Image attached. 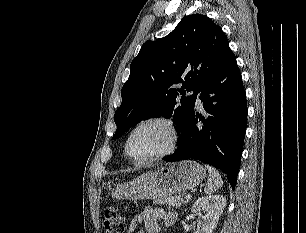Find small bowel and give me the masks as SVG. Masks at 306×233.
<instances>
[{"label":"small bowel","instance_id":"c3829d8e","mask_svg":"<svg viewBox=\"0 0 306 233\" xmlns=\"http://www.w3.org/2000/svg\"><path fill=\"white\" fill-rule=\"evenodd\" d=\"M177 221V215L159 208H145L135 215L128 227V233L137 229V233H159L161 224L166 227L173 226Z\"/></svg>","mask_w":306,"mask_h":233}]
</instances>
